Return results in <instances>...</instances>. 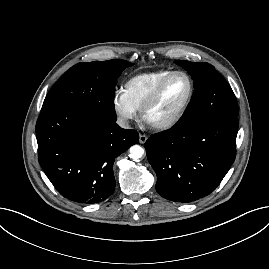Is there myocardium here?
Here are the masks:
<instances>
[{"mask_svg": "<svg viewBox=\"0 0 269 269\" xmlns=\"http://www.w3.org/2000/svg\"><path fill=\"white\" fill-rule=\"evenodd\" d=\"M176 75H182L187 78L189 83V91L188 95L186 97V100L182 104V106L170 117L157 121V122H150L147 120L146 116L149 110L156 104L158 101L165 85L168 83V81L173 78ZM194 95V82L191 76L184 72V71H172L170 74H168L165 78H163L158 85L155 87L149 98L146 100V102L143 104V106L140 109V117L141 119L147 123L150 127L157 130H164L173 127L175 124H177L180 119L185 114L186 110L188 109Z\"/></svg>", "mask_w": 269, "mask_h": 269, "instance_id": "obj_1", "label": "myocardium"}]
</instances>
